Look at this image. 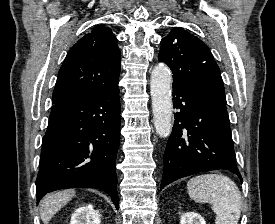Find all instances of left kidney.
Listing matches in <instances>:
<instances>
[{"mask_svg": "<svg viewBox=\"0 0 275 224\" xmlns=\"http://www.w3.org/2000/svg\"><path fill=\"white\" fill-rule=\"evenodd\" d=\"M180 224H206V222L198 213L187 212L181 216Z\"/></svg>", "mask_w": 275, "mask_h": 224, "instance_id": "1", "label": "left kidney"}]
</instances>
